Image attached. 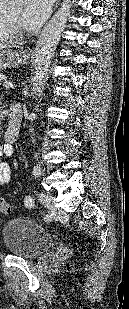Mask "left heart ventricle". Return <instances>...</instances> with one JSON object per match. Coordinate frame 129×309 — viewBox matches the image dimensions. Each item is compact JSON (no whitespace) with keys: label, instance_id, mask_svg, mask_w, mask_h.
I'll list each match as a JSON object with an SVG mask.
<instances>
[{"label":"left heart ventricle","instance_id":"1","mask_svg":"<svg viewBox=\"0 0 129 309\" xmlns=\"http://www.w3.org/2000/svg\"><path fill=\"white\" fill-rule=\"evenodd\" d=\"M7 17L13 22V24L20 30H23L21 15L19 13L8 14Z\"/></svg>","mask_w":129,"mask_h":309}]
</instances>
